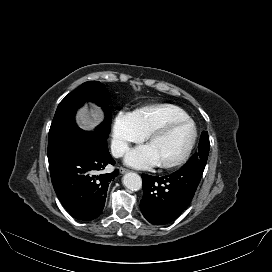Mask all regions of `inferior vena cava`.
Listing matches in <instances>:
<instances>
[{
	"label": "inferior vena cava",
	"mask_w": 272,
	"mask_h": 272,
	"mask_svg": "<svg viewBox=\"0 0 272 272\" xmlns=\"http://www.w3.org/2000/svg\"><path fill=\"white\" fill-rule=\"evenodd\" d=\"M128 151V146L123 141H113L111 144V152L115 158L122 157Z\"/></svg>",
	"instance_id": "1"
}]
</instances>
